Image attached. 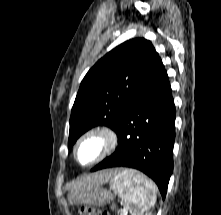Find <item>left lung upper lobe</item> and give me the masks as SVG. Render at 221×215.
<instances>
[{"label": "left lung upper lobe", "mask_w": 221, "mask_h": 215, "mask_svg": "<svg viewBox=\"0 0 221 215\" xmlns=\"http://www.w3.org/2000/svg\"><path fill=\"white\" fill-rule=\"evenodd\" d=\"M158 57L149 40L134 38L101 58L81 82L71 111L68 146L97 125L115 131L122 110L140 89Z\"/></svg>", "instance_id": "1"}]
</instances>
